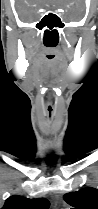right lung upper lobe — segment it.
Masks as SVG:
<instances>
[{"mask_svg":"<svg viewBox=\"0 0 98 209\" xmlns=\"http://www.w3.org/2000/svg\"><path fill=\"white\" fill-rule=\"evenodd\" d=\"M50 203L45 198L28 199L23 196H11L1 209H48Z\"/></svg>","mask_w":98,"mask_h":209,"instance_id":"1","label":"right lung upper lobe"}]
</instances>
